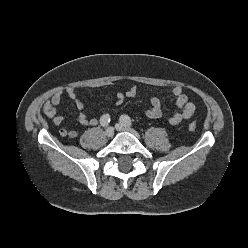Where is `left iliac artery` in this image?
I'll use <instances>...</instances> for the list:
<instances>
[{"label":"left iliac artery","mask_w":248,"mask_h":248,"mask_svg":"<svg viewBox=\"0 0 248 248\" xmlns=\"http://www.w3.org/2000/svg\"><path fill=\"white\" fill-rule=\"evenodd\" d=\"M120 122L126 126H132V121L128 115H122L120 117Z\"/></svg>","instance_id":"44dca946"}]
</instances>
